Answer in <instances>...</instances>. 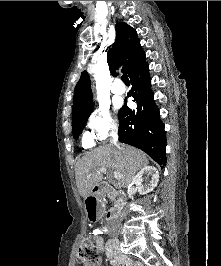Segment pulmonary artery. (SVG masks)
Wrapping results in <instances>:
<instances>
[{"instance_id":"e3ab8cb5","label":"pulmonary artery","mask_w":221,"mask_h":266,"mask_svg":"<svg viewBox=\"0 0 221 266\" xmlns=\"http://www.w3.org/2000/svg\"><path fill=\"white\" fill-rule=\"evenodd\" d=\"M111 90L116 95H122L125 92V87L120 82L116 81L113 83Z\"/></svg>"}]
</instances>
